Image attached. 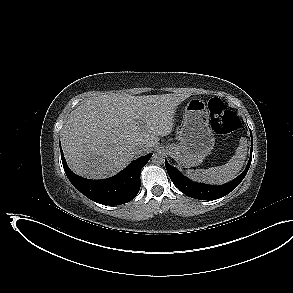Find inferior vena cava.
Here are the masks:
<instances>
[{
  "mask_svg": "<svg viewBox=\"0 0 293 293\" xmlns=\"http://www.w3.org/2000/svg\"><path fill=\"white\" fill-rule=\"evenodd\" d=\"M139 149H141V146H138V147H137V150H139Z\"/></svg>",
  "mask_w": 293,
  "mask_h": 293,
  "instance_id": "inferior-vena-cava-1",
  "label": "inferior vena cava"
}]
</instances>
